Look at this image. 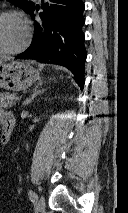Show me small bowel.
<instances>
[{"label":"small bowel","mask_w":128,"mask_h":213,"mask_svg":"<svg viewBox=\"0 0 128 213\" xmlns=\"http://www.w3.org/2000/svg\"><path fill=\"white\" fill-rule=\"evenodd\" d=\"M7 114H8V112L3 111V110L0 109V122H1V120H2Z\"/></svg>","instance_id":"small-bowel-1"}]
</instances>
